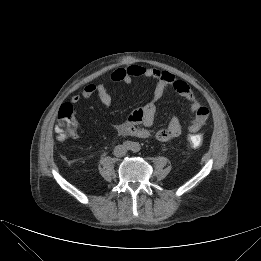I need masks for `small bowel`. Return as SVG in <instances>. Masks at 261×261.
<instances>
[{
  "label": "small bowel",
  "mask_w": 261,
  "mask_h": 261,
  "mask_svg": "<svg viewBox=\"0 0 261 261\" xmlns=\"http://www.w3.org/2000/svg\"><path fill=\"white\" fill-rule=\"evenodd\" d=\"M137 77L155 80L153 96L144 106L134 110L124 122L115 126L118 135L139 138L154 137L161 142H168L178 138L182 133V126L177 116L171 118L165 129L158 130L155 133L148 130L154 123L157 102L170 87L190 105L193 119L188 126V131L190 133H196L202 129L209 118L208 108L202 105L186 82L176 79L173 74L157 68L131 65L115 69L110 76L113 82L124 84H130L132 80ZM93 95H97L101 103L105 106H110L112 103V97L107 87L101 82L86 84L80 95L77 94L71 97V103L77 104L81 98L88 99Z\"/></svg>",
  "instance_id": "1"
}]
</instances>
